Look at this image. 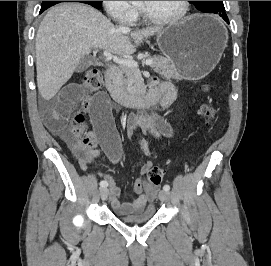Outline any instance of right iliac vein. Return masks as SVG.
<instances>
[{
    "label": "right iliac vein",
    "mask_w": 271,
    "mask_h": 266,
    "mask_svg": "<svg viewBox=\"0 0 271 266\" xmlns=\"http://www.w3.org/2000/svg\"><path fill=\"white\" fill-rule=\"evenodd\" d=\"M108 196V189L107 188H100V197L102 200H105Z\"/></svg>",
    "instance_id": "obj_1"
}]
</instances>
